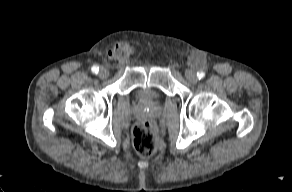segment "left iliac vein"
I'll return each mask as SVG.
<instances>
[{"instance_id": "obj_1", "label": "left iliac vein", "mask_w": 292, "mask_h": 192, "mask_svg": "<svg viewBox=\"0 0 292 192\" xmlns=\"http://www.w3.org/2000/svg\"><path fill=\"white\" fill-rule=\"evenodd\" d=\"M185 76H186V78L188 79V81H190L191 83H196L197 80H198L195 71H193V70H191V69H188V70L185 72Z\"/></svg>"}]
</instances>
